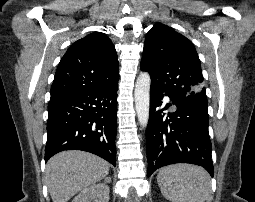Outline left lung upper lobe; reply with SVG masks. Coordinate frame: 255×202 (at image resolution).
Masks as SVG:
<instances>
[{
  "label": "left lung upper lobe",
  "instance_id": "1",
  "mask_svg": "<svg viewBox=\"0 0 255 202\" xmlns=\"http://www.w3.org/2000/svg\"><path fill=\"white\" fill-rule=\"evenodd\" d=\"M141 69L151 76V88L175 98L207 105L203 75L193 43L173 28L156 23L147 33Z\"/></svg>",
  "mask_w": 255,
  "mask_h": 202
}]
</instances>
